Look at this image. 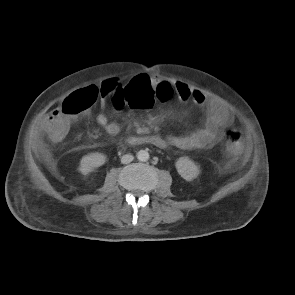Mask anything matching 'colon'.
Wrapping results in <instances>:
<instances>
[{
  "instance_id": "obj_1",
  "label": "colon",
  "mask_w": 295,
  "mask_h": 295,
  "mask_svg": "<svg viewBox=\"0 0 295 295\" xmlns=\"http://www.w3.org/2000/svg\"><path fill=\"white\" fill-rule=\"evenodd\" d=\"M113 98L117 106H123L125 102L131 110H153L156 102H169L174 92L171 86L160 87H125L117 81H108L103 85V90ZM98 90L89 86L77 90L64 98L55 110V120L48 128L47 134L54 141H60L66 137L72 121L78 115L86 112L97 99ZM227 152L235 156L242 146V135L235 128L224 131Z\"/></svg>"
}]
</instances>
